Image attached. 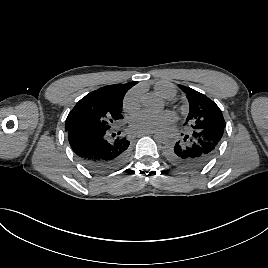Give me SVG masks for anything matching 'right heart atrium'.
Here are the masks:
<instances>
[{
  "label": "right heart atrium",
  "mask_w": 268,
  "mask_h": 268,
  "mask_svg": "<svg viewBox=\"0 0 268 268\" xmlns=\"http://www.w3.org/2000/svg\"><path fill=\"white\" fill-rule=\"evenodd\" d=\"M123 108L127 112H135L140 108V93L133 90L124 99Z\"/></svg>",
  "instance_id": "obj_1"
}]
</instances>
